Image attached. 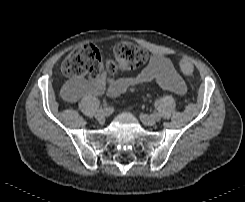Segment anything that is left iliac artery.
I'll list each match as a JSON object with an SVG mask.
<instances>
[{"instance_id":"obj_1","label":"left iliac artery","mask_w":245,"mask_h":202,"mask_svg":"<svg viewBox=\"0 0 245 202\" xmlns=\"http://www.w3.org/2000/svg\"><path fill=\"white\" fill-rule=\"evenodd\" d=\"M155 118H156V119H159V118H160V114H158V113L155 114Z\"/></svg>"}]
</instances>
